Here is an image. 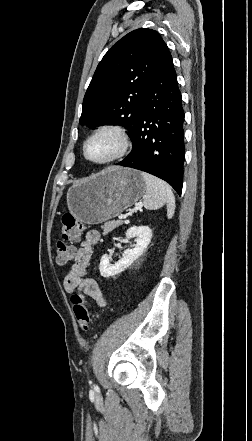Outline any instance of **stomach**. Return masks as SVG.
Listing matches in <instances>:
<instances>
[{
    "label": "stomach",
    "instance_id": "obj_1",
    "mask_svg": "<svg viewBox=\"0 0 252 441\" xmlns=\"http://www.w3.org/2000/svg\"><path fill=\"white\" fill-rule=\"evenodd\" d=\"M145 191L146 183L140 171L110 167L71 186L67 206L77 220L100 224L134 205Z\"/></svg>",
    "mask_w": 252,
    "mask_h": 441
}]
</instances>
